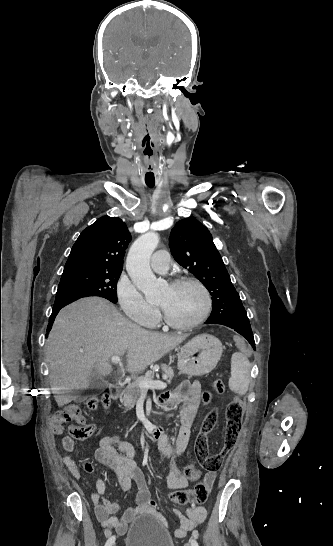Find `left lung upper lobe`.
I'll use <instances>...</instances> for the list:
<instances>
[{
  "mask_svg": "<svg viewBox=\"0 0 333 546\" xmlns=\"http://www.w3.org/2000/svg\"><path fill=\"white\" fill-rule=\"evenodd\" d=\"M169 246L177 263L193 273L212 295L210 320L231 323L247 315L204 225L192 217L180 220L171 231Z\"/></svg>",
  "mask_w": 333,
  "mask_h": 546,
  "instance_id": "obj_1",
  "label": "left lung upper lobe"
}]
</instances>
